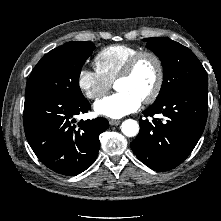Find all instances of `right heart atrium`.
I'll use <instances>...</instances> for the list:
<instances>
[{
    "label": "right heart atrium",
    "mask_w": 221,
    "mask_h": 221,
    "mask_svg": "<svg viewBox=\"0 0 221 221\" xmlns=\"http://www.w3.org/2000/svg\"><path fill=\"white\" fill-rule=\"evenodd\" d=\"M77 86L86 98L97 100L107 93L111 83L97 70L82 68L77 76Z\"/></svg>",
    "instance_id": "obj_1"
}]
</instances>
